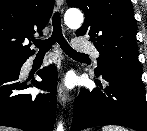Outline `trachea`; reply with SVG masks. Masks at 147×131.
<instances>
[{
	"mask_svg": "<svg viewBox=\"0 0 147 131\" xmlns=\"http://www.w3.org/2000/svg\"><path fill=\"white\" fill-rule=\"evenodd\" d=\"M52 24H53V32L51 37L45 40H33V43L37 48H39V54H45L47 51H49L52 46L57 42L61 49L72 58H79V57H85L86 54L76 52L71 48V46L68 44L66 39L64 38L62 34L61 29V18L60 14L58 12L54 13L52 17Z\"/></svg>",
	"mask_w": 147,
	"mask_h": 131,
	"instance_id": "trachea-1",
	"label": "trachea"
}]
</instances>
